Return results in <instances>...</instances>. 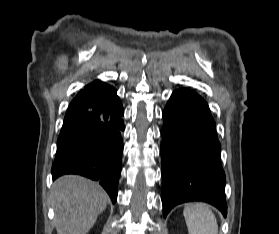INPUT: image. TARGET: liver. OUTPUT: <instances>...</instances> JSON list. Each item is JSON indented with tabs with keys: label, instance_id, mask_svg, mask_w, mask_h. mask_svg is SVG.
<instances>
[{
	"label": "liver",
	"instance_id": "6515ba94",
	"mask_svg": "<svg viewBox=\"0 0 279 234\" xmlns=\"http://www.w3.org/2000/svg\"><path fill=\"white\" fill-rule=\"evenodd\" d=\"M52 197L57 234H86L109 203L99 184L76 175L57 179Z\"/></svg>",
	"mask_w": 279,
	"mask_h": 234
}]
</instances>
